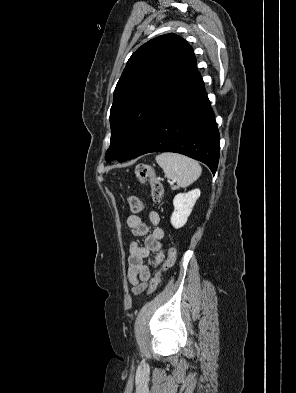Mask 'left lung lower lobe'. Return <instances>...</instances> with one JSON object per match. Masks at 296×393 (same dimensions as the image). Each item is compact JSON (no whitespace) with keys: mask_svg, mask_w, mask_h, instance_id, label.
Here are the masks:
<instances>
[{"mask_svg":"<svg viewBox=\"0 0 296 393\" xmlns=\"http://www.w3.org/2000/svg\"><path fill=\"white\" fill-rule=\"evenodd\" d=\"M220 137L200 74L165 107L128 159L151 152H176L205 163L213 174Z\"/></svg>","mask_w":296,"mask_h":393,"instance_id":"0a47b994","label":"left lung lower lobe"}]
</instances>
